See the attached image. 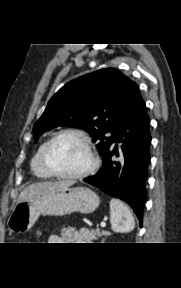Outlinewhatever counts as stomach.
Returning <instances> with one entry per match:
<instances>
[{
  "label": "stomach",
  "instance_id": "stomach-1",
  "mask_svg": "<svg viewBox=\"0 0 181 288\" xmlns=\"http://www.w3.org/2000/svg\"><path fill=\"white\" fill-rule=\"evenodd\" d=\"M99 197L87 187H65L46 191L17 202L7 221L12 232L23 233L32 228L43 215L63 216L73 212L92 213Z\"/></svg>",
  "mask_w": 181,
  "mask_h": 288
}]
</instances>
